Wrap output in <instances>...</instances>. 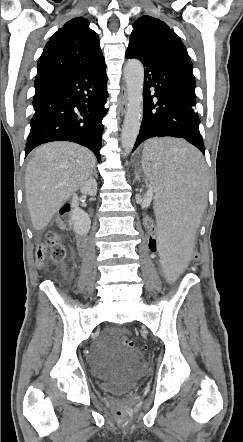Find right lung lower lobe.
<instances>
[{"label":"right lung lower lobe","mask_w":243,"mask_h":442,"mask_svg":"<svg viewBox=\"0 0 243 442\" xmlns=\"http://www.w3.org/2000/svg\"><path fill=\"white\" fill-rule=\"evenodd\" d=\"M106 65L70 70L35 80L34 114L25 156L36 146L50 141H71L89 148L101 159L102 119Z\"/></svg>","instance_id":"98d812e1"}]
</instances>
